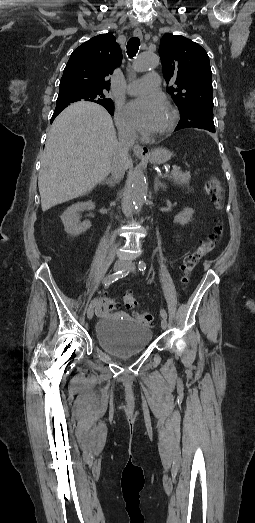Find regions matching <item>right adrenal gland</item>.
I'll return each instance as SVG.
<instances>
[{
    "instance_id": "2a0ac1e0",
    "label": "right adrenal gland",
    "mask_w": 255,
    "mask_h": 523,
    "mask_svg": "<svg viewBox=\"0 0 255 523\" xmlns=\"http://www.w3.org/2000/svg\"><path fill=\"white\" fill-rule=\"evenodd\" d=\"M102 184H108L109 188H114L116 184V180H112V178H108V180H104Z\"/></svg>"
}]
</instances>
